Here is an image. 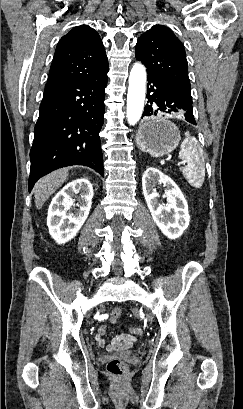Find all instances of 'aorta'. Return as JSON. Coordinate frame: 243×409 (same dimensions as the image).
<instances>
[{"label": "aorta", "instance_id": "762f6f07", "mask_svg": "<svg viewBox=\"0 0 243 409\" xmlns=\"http://www.w3.org/2000/svg\"><path fill=\"white\" fill-rule=\"evenodd\" d=\"M146 92V70L141 63H135L129 75L126 117L130 125L141 118Z\"/></svg>", "mask_w": 243, "mask_h": 409}]
</instances>
